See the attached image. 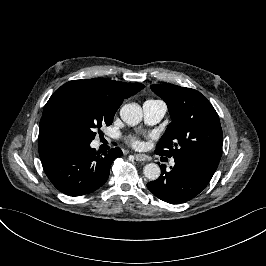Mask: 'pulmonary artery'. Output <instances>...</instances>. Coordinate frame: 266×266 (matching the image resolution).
Listing matches in <instances>:
<instances>
[{
	"mask_svg": "<svg viewBox=\"0 0 266 266\" xmlns=\"http://www.w3.org/2000/svg\"><path fill=\"white\" fill-rule=\"evenodd\" d=\"M167 111L166 103L161 99H147L143 103V113L145 122L149 125L158 123ZM174 165V161L170 162Z\"/></svg>",
	"mask_w": 266,
	"mask_h": 266,
	"instance_id": "1",
	"label": "pulmonary artery"
}]
</instances>
